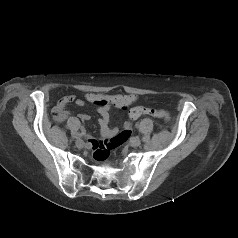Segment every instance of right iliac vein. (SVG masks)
<instances>
[{
  "instance_id": "right-iliac-vein-1",
  "label": "right iliac vein",
  "mask_w": 238,
  "mask_h": 238,
  "mask_svg": "<svg viewBox=\"0 0 238 238\" xmlns=\"http://www.w3.org/2000/svg\"><path fill=\"white\" fill-rule=\"evenodd\" d=\"M84 145H85V143H84V141H83L82 139H78V140L76 141V146H77L78 148H83Z\"/></svg>"
}]
</instances>
